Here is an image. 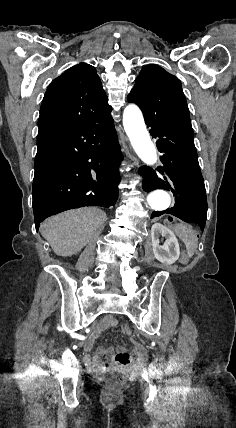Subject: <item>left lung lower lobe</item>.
<instances>
[{
    "instance_id": "0a47b994",
    "label": "left lung lower lobe",
    "mask_w": 236,
    "mask_h": 428,
    "mask_svg": "<svg viewBox=\"0 0 236 428\" xmlns=\"http://www.w3.org/2000/svg\"><path fill=\"white\" fill-rule=\"evenodd\" d=\"M164 167L153 170L141 167L143 189L171 191L175 205L164 211H154L151 219L162 214H171L187 223L197 224L204 229L207 219V196L204 179L198 163L194 136L164 121H146Z\"/></svg>"
}]
</instances>
